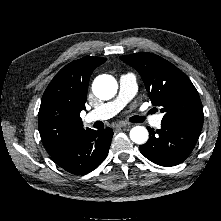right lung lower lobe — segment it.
<instances>
[{
  "instance_id": "obj_1",
  "label": "right lung lower lobe",
  "mask_w": 221,
  "mask_h": 221,
  "mask_svg": "<svg viewBox=\"0 0 221 221\" xmlns=\"http://www.w3.org/2000/svg\"><path fill=\"white\" fill-rule=\"evenodd\" d=\"M113 131L88 129L75 140L51 155L64 170L84 175L95 169L107 156Z\"/></svg>"
}]
</instances>
